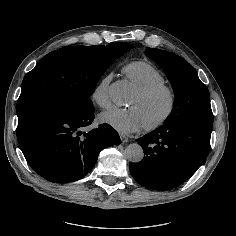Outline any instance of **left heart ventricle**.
<instances>
[{"label": "left heart ventricle", "mask_w": 236, "mask_h": 236, "mask_svg": "<svg viewBox=\"0 0 236 236\" xmlns=\"http://www.w3.org/2000/svg\"><path fill=\"white\" fill-rule=\"evenodd\" d=\"M139 110L144 125L151 124L163 117L168 108V98L162 94L150 101H142L135 94L129 104Z\"/></svg>", "instance_id": "left-heart-ventricle-1"}]
</instances>
